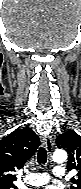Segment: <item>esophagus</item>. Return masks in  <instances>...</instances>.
I'll list each match as a JSON object with an SVG mask.
<instances>
[{
    "instance_id": "obj_1",
    "label": "esophagus",
    "mask_w": 81,
    "mask_h": 189,
    "mask_svg": "<svg viewBox=\"0 0 81 189\" xmlns=\"http://www.w3.org/2000/svg\"><path fill=\"white\" fill-rule=\"evenodd\" d=\"M43 145L45 146L48 155L51 156L52 155V151H53V142L52 139L49 136H45L42 140Z\"/></svg>"
}]
</instances>
